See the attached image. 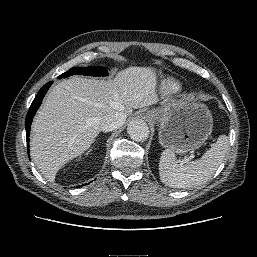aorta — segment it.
Returning <instances> with one entry per match:
<instances>
[{"mask_svg": "<svg viewBox=\"0 0 257 257\" xmlns=\"http://www.w3.org/2000/svg\"><path fill=\"white\" fill-rule=\"evenodd\" d=\"M127 132L134 141H145L149 136L148 125L140 119H133L129 122Z\"/></svg>", "mask_w": 257, "mask_h": 257, "instance_id": "aorta-1", "label": "aorta"}]
</instances>
